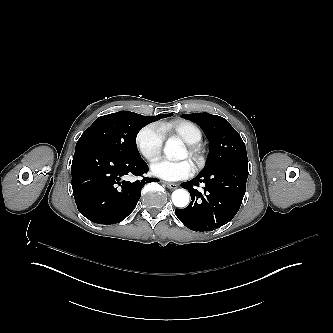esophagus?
<instances>
[{"label": "esophagus", "instance_id": "obj_1", "mask_svg": "<svg viewBox=\"0 0 333 333\" xmlns=\"http://www.w3.org/2000/svg\"><path fill=\"white\" fill-rule=\"evenodd\" d=\"M166 185L170 190H175L176 188H178V185L175 183H166Z\"/></svg>", "mask_w": 333, "mask_h": 333}]
</instances>
